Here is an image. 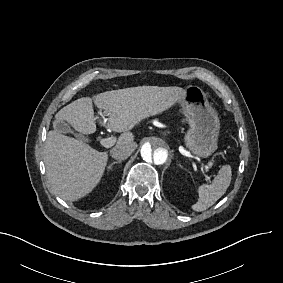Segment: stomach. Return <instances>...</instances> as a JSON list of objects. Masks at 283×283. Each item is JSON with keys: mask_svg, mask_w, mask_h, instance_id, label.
<instances>
[{"mask_svg": "<svg viewBox=\"0 0 283 283\" xmlns=\"http://www.w3.org/2000/svg\"><path fill=\"white\" fill-rule=\"evenodd\" d=\"M187 93V98L181 103L190 125L184 144L193 155L208 158L218 149L219 117L202 89L190 86Z\"/></svg>", "mask_w": 283, "mask_h": 283, "instance_id": "0dacf381", "label": "stomach"}]
</instances>
